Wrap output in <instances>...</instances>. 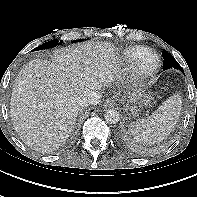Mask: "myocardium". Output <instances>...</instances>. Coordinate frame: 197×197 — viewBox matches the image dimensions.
<instances>
[{"label":"myocardium","mask_w":197,"mask_h":197,"mask_svg":"<svg viewBox=\"0 0 197 197\" xmlns=\"http://www.w3.org/2000/svg\"><path fill=\"white\" fill-rule=\"evenodd\" d=\"M150 58H155V63L152 67H146V62ZM160 67V57L158 54L149 52L145 56H143L134 66V77L135 80L139 83L144 82L145 80L152 77Z\"/></svg>","instance_id":"obj_1"}]
</instances>
